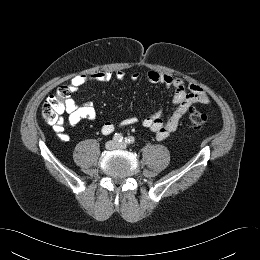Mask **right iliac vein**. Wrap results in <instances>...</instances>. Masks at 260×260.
<instances>
[{
  "mask_svg": "<svg viewBox=\"0 0 260 260\" xmlns=\"http://www.w3.org/2000/svg\"><path fill=\"white\" fill-rule=\"evenodd\" d=\"M107 150H112L116 147V143L112 140L108 141L105 145Z\"/></svg>",
  "mask_w": 260,
  "mask_h": 260,
  "instance_id": "obj_1",
  "label": "right iliac vein"
}]
</instances>
